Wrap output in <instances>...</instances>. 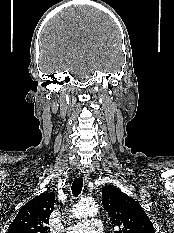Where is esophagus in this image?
<instances>
[{"instance_id":"obj_1","label":"esophagus","mask_w":174,"mask_h":233,"mask_svg":"<svg viewBox=\"0 0 174 233\" xmlns=\"http://www.w3.org/2000/svg\"><path fill=\"white\" fill-rule=\"evenodd\" d=\"M78 175L80 178H84L86 181L88 180V174L84 169H80Z\"/></svg>"}]
</instances>
